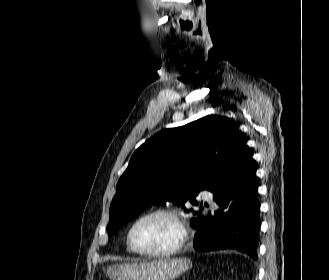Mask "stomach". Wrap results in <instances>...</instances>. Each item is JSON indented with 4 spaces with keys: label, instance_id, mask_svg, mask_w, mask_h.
<instances>
[{
    "label": "stomach",
    "instance_id": "1",
    "mask_svg": "<svg viewBox=\"0 0 329 280\" xmlns=\"http://www.w3.org/2000/svg\"><path fill=\"white\" fill-rule=\"evenodd\" d=\"M191 266L190 260L185 258L161 259L113 264L105 272L110 280H173Z\"/></svg>",
    "mask_w": 329,
    "mask_h": 280
}]
</instances>
